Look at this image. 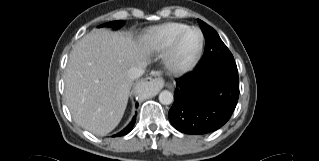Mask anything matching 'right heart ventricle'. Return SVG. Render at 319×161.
<instances>
[{"instance_id": "obj_1", "label": "right heart ventricle", "mask_w": 319, "mask_h": 161, "mask_svg": "<svg viewBox=\"0 0 319 161\" xmlns=\"http://www.w3.org/2000/svg\"><path fill=\"white\" fill-rule=\"evenodd\" d=\"M186 27L187 24L180 22L163 23L147 29L142 35V41L151 51L163 52L169 47L173 37Z\"/></svg>"}]
</instances>
